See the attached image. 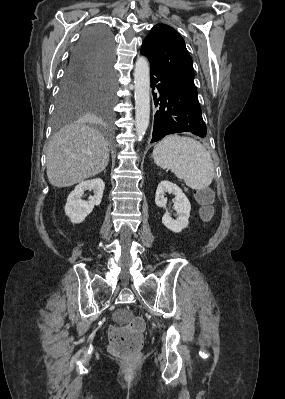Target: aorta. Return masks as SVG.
Here are the masks:
<instances>
[{
	"label": "aorta",
	"instance_id": "obj_1",
	"mask_svg": "<svg viewBox=\"0 0 285 399\" xmlns=\"http://www.w3.org/2000/svg\"><path fill=\"white\" fill-rule=\"evenodd\" d=\"M135 84V124L139 141L149 126L150 119V76L149 63L144 57H138L134 71Z\"/></svg>",
	"mask_w": 285,
	"mask_h": 399
}]
</instances>
